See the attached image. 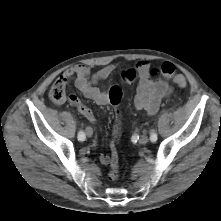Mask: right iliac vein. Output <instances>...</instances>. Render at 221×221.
<instances>
[{"mask_svg": "<svg viewBox=\"0 0 221 221\" xmlns=\"http://www.w3.org/2000/svg\"><path fill=\"white\" fill-rule=\"evenodd\" d=\"M86 135H87V137H92V135H93L92 128H90V127L86 128Z\"/></svg>", "mask_w": 221, "mask_h": 221, "instance_id": "obj_1", "label": "right iliac vein"}]
</instances>
